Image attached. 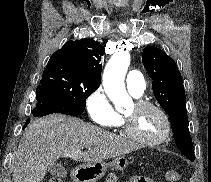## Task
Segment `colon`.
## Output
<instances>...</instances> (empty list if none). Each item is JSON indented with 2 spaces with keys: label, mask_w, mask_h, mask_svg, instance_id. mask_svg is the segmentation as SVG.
<instances>
[{
  "label": "colon",
  "mask_w": 211,
  "mask_h": 182,
  "mask_svg": "<svg viewBox=\"0 0 211 182\" xmlns=\"http://www.w3.org/2000/svg\"><path fill=\"white\" fill-rule=\"evenodd\" d=\"M165 179L169 182H175L179 178V173L175 170H168L164 175ZM113 180V174L109 175L106 182H111ZM48 182H62L59 178H50Z\"/></svg>",
  "instance_id": "5ec220e1"
}]
</instances>
